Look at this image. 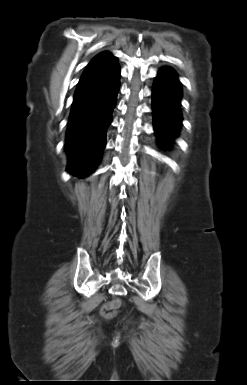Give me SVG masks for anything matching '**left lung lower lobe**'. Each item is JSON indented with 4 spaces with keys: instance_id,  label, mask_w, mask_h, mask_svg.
<instances>
[{
    "instance_id": "obj_1",
    "label": "left lung lower lobe",
    "mask_w": 247,
    "mask_h": 385,
    "mask_svg": "<svg viewBox=\"0 0 247 385\" xmlns=\"http://www.w3.org/2000/svg\"><path fill=\"white\" fill-rule=\"evenodd\" d=\"M181 96V83L176 73L172 69L162 68L155 78L152 91L154 130L162 146H167L179 132L182 122Z\"/></svg>"
}]
</instances>
